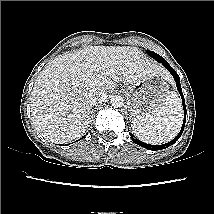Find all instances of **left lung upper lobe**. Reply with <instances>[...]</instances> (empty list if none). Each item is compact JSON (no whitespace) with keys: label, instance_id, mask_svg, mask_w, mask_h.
Listing matches in <instances>:
<instances>
[{"label":"left lung upper lobe","instance_id":"5c2ea615","mask_svg":"<svg viewBox=\"0 0 214 214\" xmlns=\"http://www.w3.org/2000/svg\"><path fill=\"white\" fill-rule=\"evenodd\" d=\"M147 54L160 63L165 61V59L163 57H161L160 55H158L157 53H155L153 51H147Z\"/></svg>","mask_w":214,"mask_h":214}]
</instances>
